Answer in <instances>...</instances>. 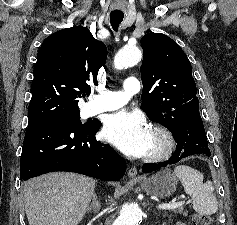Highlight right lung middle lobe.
<instances>
[{"instance_id": "obj_1", "label": "right lung middle lobe", "mask_w": 237, "mask_h": 225, "mask_svg": "<svg viewBox=\"0 0 237 225\" xmlns=\"http://www.w3.org/2000/svg\"><path fill=\"white\" fill-rule=\"evenodd\" d=\"M50 120H57V121H62L65 123H69L72 125H75L77 127L85 126L88 123H81L80 121V112H74V113H68V114H61L54 116L52 118H49Z\"/></svg>"}]
</instances>
